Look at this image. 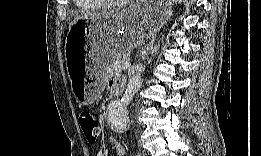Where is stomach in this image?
I'll return each instance as SVG.
<instances>
[{
	"mask_svg": "<svg viewBox=\"0 0 261 156\" xmlns=\"http://www.w3.org/2000/svg\"><path fill=\"white\" fill-rule=\"evenodd\" d=\"M170 14L167 3L135 2L112 16L82 19L72 25L66 37L65 56L77 101L81 105L92 104L104 87V67L113 55L154 36ZM87 47L90 63L76 66V54Z\"/></svg>",
	"mask_w": 261,
	"mask_h": 156,
	"instance_id": "0dacf381",
	"label": "stomach"
}]
</instances>
